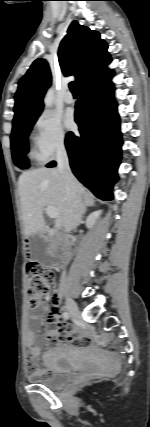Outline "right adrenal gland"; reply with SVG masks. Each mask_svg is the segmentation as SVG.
I'll return each instance as SVG.
<instances>
[{
	"label": "right adrenal gland",
	"mask_w": 150,
	"mask_h": 427,
	"mask_svg": "<svg viewBox=\"0 0 150 427\" xmlns=\"http://www.w3.org/2000/svg\"><path fill=\"white\" fill-rule=\"evenodd\" d=\"M83 199H84V210H83V215H84L87 211V207L95 206V201L93 200V198H91L88 195H84Z\"/></svg>",
	"instance_id": "obj_1"
}]
</instances>
